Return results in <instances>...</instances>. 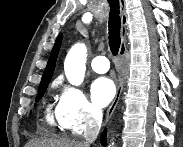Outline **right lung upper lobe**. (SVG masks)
<instances>
[{
	"label": "right lung upper lobe",
	"mask_w": 183,
	"mask_h": 147,
	"mask_svg": "<svg viewBox=\"0 0 183 147\" xmlns=\"http://www.w3.org/2000/svg\"><path fill=\"white\" fill-rule=\"evenodd\" d=\"M60 42H61V35L58 37V39L55 42V45H54L53 50L51 52L48 64H47L45 72L43 74V77H42V80L40 83V87L48 86V84L52 78V75H53V72L55 69L56 58H57L58 51L60 48Z\"/></svg>",
	"instance_id": "cb5924a9"
}]
</instances>
